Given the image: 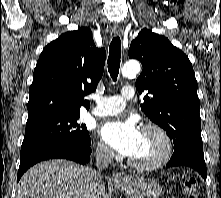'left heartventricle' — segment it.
<instances>
[{
  "label": "left heart ventricle",
  "mask_w": 221,
  "mask_h": 198,
  "mask_svg": "<svg viewBox=\"0 0 221 198\" xmlns=\"http://www.w3.org/2000/svg\"><path fill=\"white\" fill-rule=\"evenodd\" d=\"M161 149V141L154 133L141 132L139 143L130 158L137 162H149L159 155Z\"/></svg>",
  "instance_id": "b2bd125f"
}]
</instances>
